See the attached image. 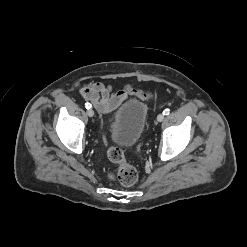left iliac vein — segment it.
I'll return each instance as SVG.
<instances>
[{"label": "left iliac vein", "instance_id": "left-iliac-vein-1", "mask_svg": "<svg viewBox=\"0 0 247 247\" xmlns=\"http://www.w3.org/2000/svg\"><path fill=\"white\" fill-rule=\"evenodd\" d=\"M164 120V115L163 114H159L158 116H157V121L158 122H162Z\"/></svg>", "mask_w": 247, "mask_h": 247}]
</instances>
